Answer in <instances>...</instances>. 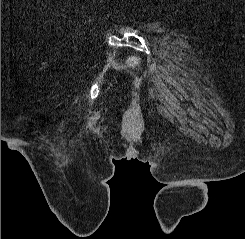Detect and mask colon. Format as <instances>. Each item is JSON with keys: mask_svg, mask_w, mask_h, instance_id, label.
<instances>
[{"mask_svg": "<svg viewBox=\"0 0 245 239\" xmlns=\"http://www.w3.org/2000/svg\"><path fill=\"white\" fill-rule=\"evenodd\" d=\"M138 64V60L135 57H131L127 59V65L130 67H134Z\"/></svg>", "mask_w": 245, "mask_h": 239, "instance_id": "obj_1", "label": "colon"}]
</instances>
